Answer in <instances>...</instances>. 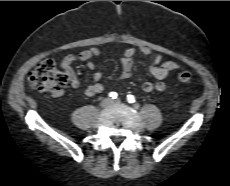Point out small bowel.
<instances>
[{
    "label": "small bowel",
    "instance_id": "small-bowel-1",
    "mask_svg": "<svg viewBox=\"0 0 230 186\" xmlns=\"http://www.w3.org/2000/svg\"><path fill=\"white\" fill-rule=\"evenodd\" d=\"M137 49L130 47L125 50L120 58L121 73L117 76V80L128 79L133 74V66ZM139 51L149 58V72L156 79L153 81H145L142 84V90L146 93L153 91H164L167 89V83L165 79L172 71L177 70L180 65L174 60H163V56L160 53L154 54L148 47H141ZM101 55V51L98 48L91 47L83 50L78 54H69L62 58L61 68L63 69L71 87L78 89L80 87V81L78 75L73 69V64L77 61L86 62L89 70L93 72L92 82L83 89V94L87 97H91L100 94L104 87L101 84L102 71L96 68L93 60ZM62 95V92L56 96Z\"/></svg>",
    "mask_w": 230,
    "mask_h": 186
}]
</instances>
